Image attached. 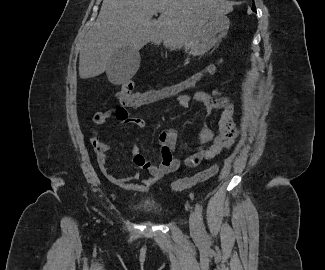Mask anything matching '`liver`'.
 <instances>
[{"instance_id": "1", "label": "liver", "mask_w": 325, "mask_h": 270, "mask_svg": "<svg viewBox=\"0 0 325 270\" xmlns=\"http://www.w3.org/2000/svg\"><path fill=\"white\" fill-rule=\"evenodd\" d=\"M232 10L225 0H103L80 49L79 76L88 79L107 71L111 55L123 47L138 52L149 42H163L171 51L181 49L210 19ZM158 12L160 17L153 20ZM108 79L121 84L130 78Z\"/></svg>"}]
</instances>
